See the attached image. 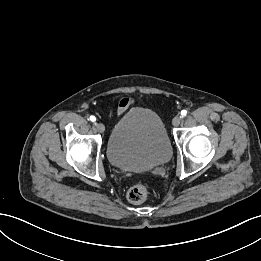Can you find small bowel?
<instances>
[{
    "label": "small bowel",
    "instance_id": "obj_1",
    "mask_svg": "<svg viewBox=\"0 0 261 261\" xmlns=\"http://www.w3.org/2000/svg\"><path fill=\"white\" fill-rule=\"evenodd\" d=\"M133 103L134 101L130 97L122 98L118 104L117 115L123 114Z\"/></svg>",
    "mask_w": 261,
    "mask_h": 261
}]
</instances>
